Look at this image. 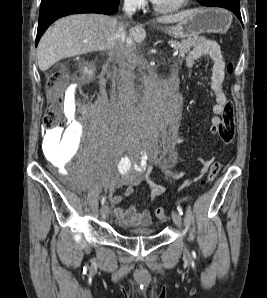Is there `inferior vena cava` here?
Wrapping results in <instances>:
<instances>
[{
  "instance_id": "inferior-vena-cava-1",
  "label": "inferior vena cava",
  "mask_w": 267,
  "mask_h": 298,
  "mask_svg": "<svg viewBox=\"0 0 267 298\" xmlns=\"http://www.w3.org/2000/svg\"><path fill=\"white\" fill-rule=\"evenodd\" d=\"M138 2L139 0H124L123 12L125 16L131 17L135 13ZM125 35L124 26L122 25L116 35V39L121 42L112 49V55L119 63V76L122 81L119 86L117 105L123 114H128L132 111L135 96L133 77L138 56L135 43L130 37L124 40Z\"/></svg>"
}]
</instances>
